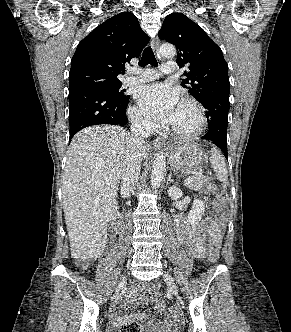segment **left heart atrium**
<instances>
[{
    "mask_svg": "<svg viewBox=\"0 0 291 332\" xmlns=\"http://www.w3.org/2000/svg\"><path fill=\"white\" fill-rule=\"evenodd\" d=\"M136 99L148 118L163 124L172 123L180 103L178 91L165 83H155L139 88Z\"/></svg>",
    "mask_w": 291,
    "mask_h": 332,
    "instance_id": "1",
    "label": "left heart atrium"
}]
</instances>
